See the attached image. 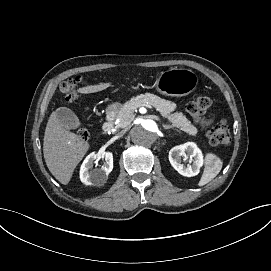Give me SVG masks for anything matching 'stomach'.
Listing matches in <instances>:
<instances>
[{
  "label": "stomach",
  "instance_id": "1",
  "mask_svg": "<svg viewBox=\"0 0 271 271\" xmlns=\"http://www.w3.org/2000/svg\"><path fill=\"white\" fill-rule=\"evenodd\" d=\"M198 84L197 75L184 68H171L163 71L156 78V90L166 96L181 97L195 90Z\"/></svg>",
  "mask_w": 271,
  "mask_h": 271
}]
</instances>
